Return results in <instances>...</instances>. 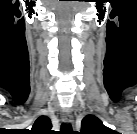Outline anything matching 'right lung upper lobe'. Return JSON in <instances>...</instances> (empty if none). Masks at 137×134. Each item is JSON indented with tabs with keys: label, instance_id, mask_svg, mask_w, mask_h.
I'll return each instance as SVG.
<instances>
[{
	"label": "right lung upper lobe",
	"instance_id": "obj_1",
	"mask_svg": "<svg viewBox=\"0 0 137 134\" xmlns=\"http://www.w3.org/2000/svg\"><path fill=\"white\" fill-rule=\"evenodd\" d=\"M52 124L47 116H40L33 124L31 130H28L29 134H50Z\"/></svg>",
	"mask_w": 137,
	"mask_h": 134
}]
</instances>
